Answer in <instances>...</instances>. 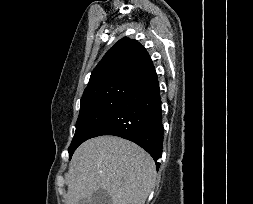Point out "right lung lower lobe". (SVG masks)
<instances>
[{
    "instance_id": "1",
    "label": "right lung lower lobe",
    "mask_w": 253,
    "mask_h": 204,
    "mask_svg": "<svg viewBox=\"0 0 253 204\" xmlns=\"http://www.w3.org/2000/svg\"><path fill=\"white\" fill-rule=\"evenodd\" d=\"M161 113L160 88L153 69L137 82L91 138L101 135L122 137L141 146L157 161L163 148ZM159 166L156 162L157 169Z\"/></svg>"
}]
</instances>
